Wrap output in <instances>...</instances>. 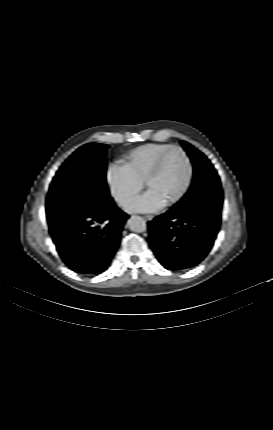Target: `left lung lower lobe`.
<instances>
[{"mask_svg":"<svg viewBox=\"0 0 273 430\" xmlns=\"http://www.w3.org/2000/svg\"><path fill=\"white\" fill-rule=\"evenodd\" d=\"M222 203L221 187L207 184L148 223L150 247L166 269H189L207 256L221 224Z\"/></svg>","mask_w":273,"mask_h":430,"instance_id":"0a47b994","label":"left lung lower lobe"}]
</instances>
